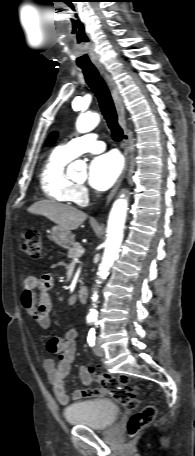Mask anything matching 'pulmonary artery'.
Listing matches in <instances>:
<instances>
[{
  "label": "pulmonary artery",
  "instance_id": "e3ab8cb5",
  "mask_svg": "<svg viewBox=\"0 0 195 456\" xmlns=\"http://www.w3.org/2000/svg\"><path fill=\"white\" fill-rule=\"evenodd\" d=\"M59 148L69 157L75 158L85 152H102L105 149V144L98 139L96 134L90 133L74 138Z\"/></svg>",
  "mask_w": 195,
  "mask_h": 456
}]
</instances>
